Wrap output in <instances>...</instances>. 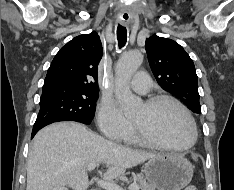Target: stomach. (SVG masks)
<instances>
[{
  "label": "stomach",
  "mask_w": 234,
  "mask_h": 190,
  "mask_svg": "<svg viewBox=\"0 0 234 190\" xmlns=\"http://www.w3.org/2000/svg\"><path fill=\"white\" fill-rule=\"evenodd\" d=\"M144 173L155 190H181L192 180L193 166L179 155L161 154L145 164Z\"/></svg>",
  "instance_id": "1"
}]
</instances>
